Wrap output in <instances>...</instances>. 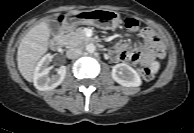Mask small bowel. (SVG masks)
<instances>
[{
  "label": "small bowel",
  "mask_w": 194,
  "mask_h": 133,
  "mask_svg": "<svg viewBox=\"0 0 194 133\" xmlns=\"http://www.w3.org/2000/svg\"><path fill=\"white\" fill-rule=\"evenodd\" d=\"M140 36L142 41L134 45L124 41L117 43L111 50V59L150 66L156 58L163 56L161 41L152 29H142Z\"/></svg>",
  "instance_id": "1"
}]
</instances>
